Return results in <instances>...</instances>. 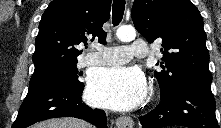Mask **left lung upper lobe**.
<instances>
[{"mask_svg":"<svg viewBox=\"0 0 221 128\" xmlns=\"http://www.w3.org/2000/svg\"><path fill=\"white\" fill-rule=\"evenodd\" d=\"M132 20L149 43L162 42V70L154 72L161 97L191 84L211 86L203 19L190 0H135Z\"/></svg>","mask_w":221,"mask_h":128,"instance_id":"left-lung-upper-lobe-1","label":"left lung upper lobe"}]
</instances>
